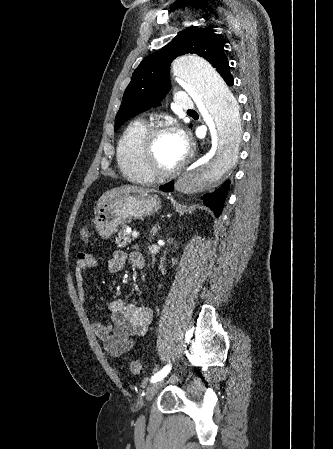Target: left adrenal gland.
Listing matches in <instances>:
<instances>
[{
    "mask_svg": "<svg viewBox=\"0 0 333 449\" xmlns=\"http://www.w3.org/2000/svg\"><path fill=\"white\" fill-rule=\"evenodd\" d=\"M158 229H159V226L158 227L154 226L152 228V231H151L152 232V236H154L157 233Z\"/></svg>",
    "mask_w": 333,
    "mask_h": 449,
    "instance_id": "1",
    "label": "left adrenal gland"
}]
</instances>
